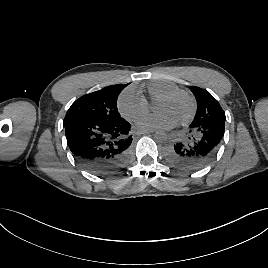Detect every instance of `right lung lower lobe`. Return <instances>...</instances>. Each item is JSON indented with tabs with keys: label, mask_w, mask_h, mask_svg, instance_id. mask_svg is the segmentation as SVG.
I'll list each match as a JSON object with an SVG mask.
<instances>
[{
	"label": "right lung lower lobe",
	"mask_w": 268,
	"mask_h": 268,
	"mask_svg": "<svg viewBox=\"0 0 268 268\" xmlns=\"http://www.w3.org/2000/svg\"><path fill=\"white\" fill-rule=\"evenodd\" d=\"M64 127L73 157L95 175L118 170L128 157L131 125L124 118L114 122L78 118Z\"/></svg>",
	"instance_id": "obj_1"
}]
</instances>
